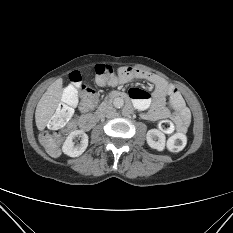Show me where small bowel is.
<instances>
[{
	"mask_svg": "<svg viewBox=\"0 0 233 233\" xmlns=\"http://www.w3.org/2000/svg\"><path fill=\"white\" fill-rule=\"evenodd\" d=\"M134 79H142L154 85L152 94L139 88L130 90L133 103L141 111L142 117L147 120L158 121L159 129L166 134H171L174 131L186 132L191 116L179 91L156 74L132 68H120L115 84H126ZM94 104L95 95L90 98H82L80 103L81 113L85 116L92 110Z\"/></svg>",
	"mask_w": 233,
	"mask_h": 233,
	"instance_id": "c3829d8e",
	"label": "small bowel"
}]
</instances>
